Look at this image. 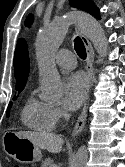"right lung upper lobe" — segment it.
Segmentation results:
<instances>
[{"label": "right lung upper lobe", "mask_w": 125, "mask_h": 167, "mask_svg": "<svg viewBox=\"0 0 125 167\" xmlns=\"http://www.w3.org/2000/svg\"><path fill=\"white\" fill-rule=\"evenodd\" d=\"M14 71L16 87H23L26 84L29 73V57L26 42L19 39L14 54Z\"/></svg>", "instance_id": "right-lung-upper-lobe-1"}]
</instances>
